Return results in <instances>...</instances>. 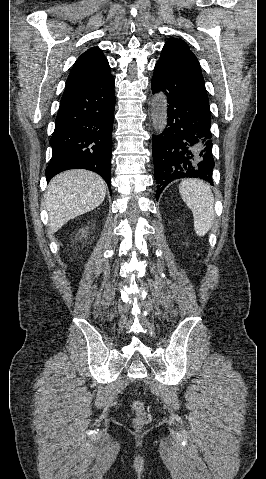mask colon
Segmentation results:
<instances>
[{
    "label": "colon",
    "mask_w": 266,
    "mask_h": 479,
    "mask_svg": "<svg viewBox=\"0 0 266 479\" xmlns=\"http://www.w3.org/2000/svg\"><path fill=\"white\" fill-rule=\"evenodd\" d=\"M132 409L134 411V426L136 428H142L148 424L151 420V415L148 410L145 408V405L140 400H135L132 403Z\"/></svg>",
    "instance_id": "1"
}]
</instances>
